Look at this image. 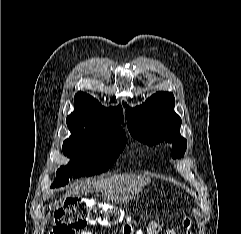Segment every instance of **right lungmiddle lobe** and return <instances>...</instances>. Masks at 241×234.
Listing matches in <instances>:
<instances>
[{
    "label": "right lung middle lobe",
    "instance_id": "dd1d6c3e",
    "mask_svg": "<svg viewBox=\"0 0 241 234\" xmlns=\"http://www.w3.org/2000/svg\"><path fill=\"white\" fill-rule=\"evenodd\" d=\"M71 136L63 143V153L71 159L61 166L51 187L63 186L69 178L105 172L116 161L126 145L124 131L85 130L67 122Z\"/></svg>",
    "mask_w": 241,
    "mask_h": 234
}]
</instances>
